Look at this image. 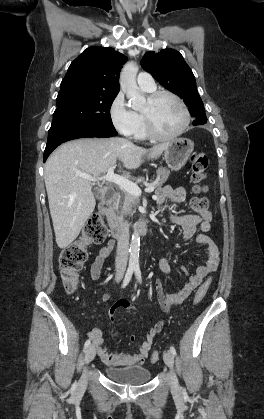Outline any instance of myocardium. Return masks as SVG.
Listing matches in <instances>:
<instances>
[{
	"mask_svg": "<svg viewBox=\"0 0 264 419\" xmlns=\"http://www.w3.org/2000/svg\"><path fill=\"white\" fill-rule=\"evenodd\" d=\"M162 96L172 97L173 99L177 101V103L180 105L182 109L184 120H183L182 126L176 133L171 134V135L161 134L156 128L150 109H144L142 113L144 116L148 136L154 140L165 142V141H172V140L177 139L186 131V129L188 128L190 124V112L186 103L178 94L170 90H164V89L156 90L149 94L148 99H147L149 106H152Z\"/></svg>",
	"mask_w": 264,
	"mask_h": 419,
	"instance_id": "obj_1",
	"label": "myocardium"
}]
</instances>
